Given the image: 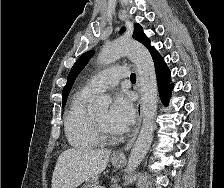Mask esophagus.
Instances as JSON below:
<instances>
[{
    "mask_svg": "<svg viewBox=\"0 0 224 188\" xmlns=\"http://www.w3.org/2000/svg\"><path fill=\"white\" fill-rule=\"evenodd\" d=\"M136 89L139 93V99L137 101V105H136V111H137V122L135 125V128L127 142V144L125 145V147L121 150H118L116 152L113 153V157H118V158H124L125 157V152L131 148V146L133 145V143L135 142V139L139 133V129L141 126V121H142V100H141V95H140V89H139V84L137 82L136 85Z\"/></svg>",
    "mask_w": 224,
    "mask_h": 188,
    "instance_id": "1",
    "label": "esophagus"
}]
</instances>
